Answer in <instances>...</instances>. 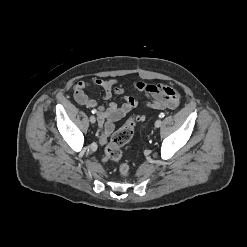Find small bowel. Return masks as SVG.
Here are the masks:
<instances>
[{
  "instance_id": "small-bowel-1",
  "label": "small bowel",
  "mask_w": 247,
  "mask_h": 247,
  "mask_svg": "<svg viewBox=\"0 0 247 247\" xmlns=\"http://www.w3.org/2000/svg\"><path fill=\"white\" fill-rule=\"evenodd\" d=\"M93 85L103 90L105 100H110L114 94L123 95L125 89L116 79H93L90 82L79 81L74 86L73 96L75 101L87 108H93L97 112L101 128L100 142L104 144L114 130V123L135 108L138 105V99L134 96H124L122 105L115 101H109L105 106L100 105L85 93V90ZM132 87L136 93L147 95V105L153 109H174L180 101V93L168 84H150L144 81H135L132 83Z\"/></svg>"
}]
</instances>
